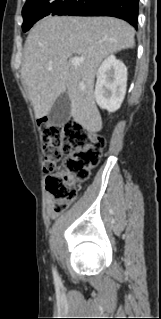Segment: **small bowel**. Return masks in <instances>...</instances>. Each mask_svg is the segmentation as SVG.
Here are the masks:
<instances>
[{"label":"small bowel","mask_w":161,"mask_h":319,"mask_svg":"<svg viewBox=\"0 0 161 319\" xmlns=\"http://www.w3.org/2000/svg\"><path fill=\"white\" fill-rule=\"evenodd\" d=\"M47 204V214L51 219H54L56 217V214L52 211V205H53V200L51 197H48L46 200Z\"/></svg>","instance_id":"small-bowel-1"}]
</instances>
